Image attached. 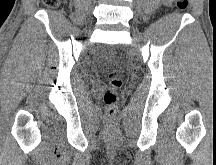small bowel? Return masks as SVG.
<instances>
[{"instance_id": "c3829d8e", "label": "small bowel", "mask_w": 216, "mask_h": 165, "mask_svg": "<svg viewBox=\"0 0 216 165\" xmlns=\"http://www.w3.org/2000/svg\"><path fill=\"white\" fill-rule=\"evenodd\" d=\"M163 2L165 5H170L173 2V0H163Z\"/></svg>"}]
</instances>
